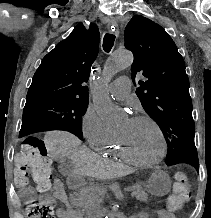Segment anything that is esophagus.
<instances>
[{
    "label": "esophagus",
    "instance_id": "esophagus-1",
    "mask_svg": "<svg viewBox=\"0 0 211 218\" xmlns=\"http://www.w3.org/2000/svg\"><path fill=\"white\" fill-rule=\"evenodd\" d=\"M107 29L110 32H113L117 37L119 36V25L118 23H109L107 24Z\"/></svg>",
    "mask_w": 211,
    "mask_h": 218
}]
</instances>
